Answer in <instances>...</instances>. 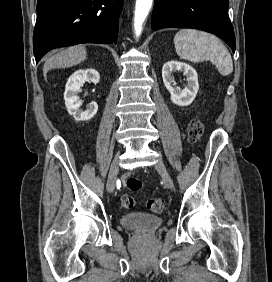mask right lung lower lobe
I'll return each instance as SVG.
<instances>
[{
	"label": "right lung lower lobe",
	"mask_w": 272,
	"mask_h": 282,
	"mask_svg": "<svg viewBox=\"0 0 272 282\" xmlns=\"http://www.w3.org/2000/svg\"><path fill=\"white\" fill-rule=\"evenodd\" d=\"M123 0H38L33 34L36 62L54 48L116 43Z\"/></svg>",
	"instance_id": "right-lung-lower-lobe-1"
}]
</instances>
